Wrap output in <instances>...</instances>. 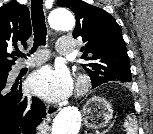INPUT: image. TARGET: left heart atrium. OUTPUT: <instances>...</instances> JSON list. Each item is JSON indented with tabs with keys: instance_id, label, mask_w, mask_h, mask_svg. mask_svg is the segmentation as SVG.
<instances>
[{
	"instance_id": "left-heart-atrium-1",
	"label": "left heart atrium",
	"mask_w": 153,
	"mask_h": 134,
	"mask_svg": "<svg viewBox=\"0 0 153 134\" xmlns=\"http://www.w3.org/2000/svg\"><path fill=\"white\" fill-rule=\"evenodd\" d=\"M28 88L46 100L57 102L71 94L73 82L65 67L43 66L30 75Z\"/></svg>"
}]
</instances>
